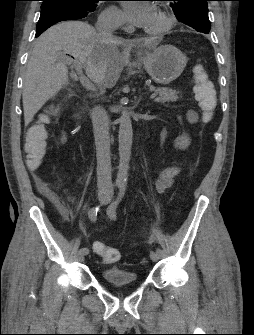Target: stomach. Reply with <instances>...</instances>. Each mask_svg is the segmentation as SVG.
<instances>
[{
    "instance_id": "obj_1",
    "label": "stomach",
    "mask_w": 254,
    "mask_h": 335,
    "mask_svg": "<svg viewBox=\"0 0 254 335\" xmlns=\"http://www.w3.org/2000/svg\"><path fill=\"white\" fill-rule=\"evenodd\" d=\"M149 76L158 84L168 85L176 80L187 64V58L173 45H161L141 55Z\"/></svg>"
}]
</instances>
